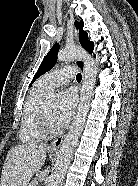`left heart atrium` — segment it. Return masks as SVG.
<instances>
[{"mask_svg": "<svg viewBox=\"0 0 138 186\" xmlns=\"http://www.w3.org/2000/svg\"><path fill=\"white\" fill-rule=\"evenodd\" d=\"M77 105V95L73 89L62 93L60 104L56 110V121L59 127L67 125L72 118Z\"/></svg>", "mask_w": 138, "mask_h": 186, "instance_id": "obj_1", "label": "left heart atrium"}]
</instances>
